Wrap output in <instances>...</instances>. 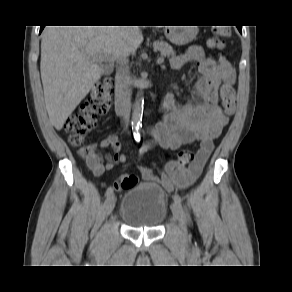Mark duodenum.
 Returning a JSON list of instances; mask_svg holds the SVG:
<instances>
[{"label":"duodenum","mask_w":292,"mask_h":292,"mask_svg":"<svg viewBox=\"0 0 292 292\" xmlns=\"http://www.w3.org/2000/svg\"><path fill=\"white\" fill-rule=\"evenodd\" d=\"M120 77H118L119 83L116 89V101H115V110L117 115L122 116L127 112V96L124 90L123 85L120 82ZM167 97L162 99L161 105H165L167 103Z\"/></svg>","instance_id":"duodenum-1"}]
</instances>
